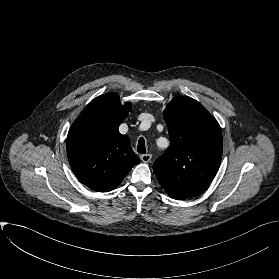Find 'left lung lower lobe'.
Returning a JSON list of instances; mask_svg holds the SVG:
<instances>
[{"mask_svg":"<svg viewBox=\"0 0 279 279\" xmlns=\"http://www.w3.org/2000/svg\"><path fill=\"white\" fill-rule=\"evenodd\" d=\"M173 199H178V198H174V197H172ZM178 200H181V199H178Z\"/></svg>","mask_w":279,"mask_h":279,"instance_id":"1","label":"left lung lower lobe"}]
</instances>
